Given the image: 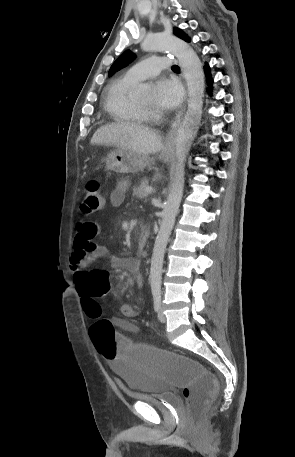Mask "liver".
<instances>
[{"instance_id":"6515ba94","label":"liver","mask_w":295,"mask_h":457,"mask_svg":"<svg viewBox=\"0 0 295 457\" xmlns=\"http://www.w3.org/2000/svg\"><path fill=\"white\" fill-rule=\"evenodd\" d=\"M91 144L114 146L143 156L157 153L163 147L162 139L156 131L133 122H118L100 127L92 136Z\"/></svg>"}]
</instances>
